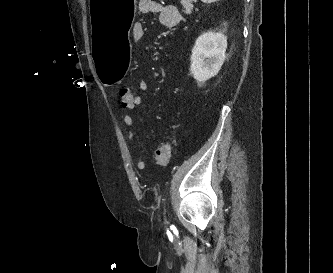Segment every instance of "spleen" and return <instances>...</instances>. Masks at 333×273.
Masks as SVG:
<instances>
[{
  "instance_id": "spleen-1",
  "label": "spleen",
  "mask_w": 333,
  "mask_h": 273,
  "mask_svg": "<svg viewBox=\"0 0 333 273\" xmlns=\"http://www.w3.org/2000/svg\"><path fill=\"white\" fill-rule=\"evenodd\" d=\"M204 3H212V2H216L218 0H201Z\"/></svg>"
}]
</instances>
